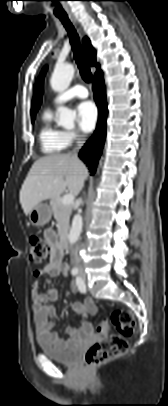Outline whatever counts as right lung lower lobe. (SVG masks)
Masks as SVG:
<instances>
[{
  "label": "right lung lower lobe",
  "instance_id": "1",
  "mask_svg": "<svg viewBox=\"0 0 168 406\" xmlns=\"http://www.w3.org/2000/svg\"><path fill=\"white\" fill-rule=\"evenodd\" d=\"M93 91L99 111L98 123L94 134L79 153V157L89 166L92 175L96 171L106 135L107 102L102 74L94 78Z\"/></svg>",
  "mask_w": 168,
  "mask_h": 406
}]
</instances>
